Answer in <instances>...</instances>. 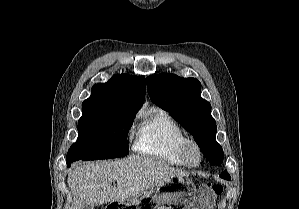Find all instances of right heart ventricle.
<instances>
[{"label": "right heart ventricle", "instance_id": "e07e8e85", "mask_svg": "<svg viewBox=\"0 0 299 209\" xmlns=\"http://www.w3.org/2000/svg\"><path fill=\"white\" fill-rule=\"evenodd\" d=\"M187 139L181 126L164 110L144 116L136 131V152L175 166H184L180 147Z\"/></svg>", "mask_w": 299, "mask_h": 209}]
</instances>
